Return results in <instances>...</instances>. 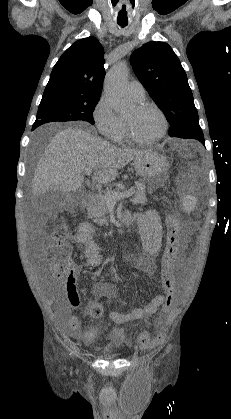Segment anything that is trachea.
I'll list each match as a JSON object with an SVG mask.
<instances>
[{
  "instance_id": "obj_1",
  "label": "trachea",
  "mask_w": 231,
  "mask_h": 419,
  "mask_svg": "<svg viewBox=\"0 0 231 419\" xmlns=\"http://www.w3.org/2000/svg\"><path fill=\"white\" fill-rule=\"evenodd\" d=\"M118 24H119L121 27H125V26H127V23H123V22H118Z\"/></svg>"
}]
</instances>
